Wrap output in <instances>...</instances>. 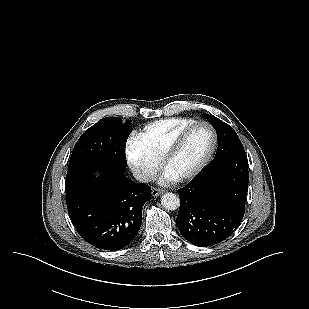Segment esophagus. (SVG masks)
<instances>
[{"mask_svg":"<svg viewBox=\"0 0 309 309\" xmlns=\"http://www.w3.org/2000/svg\"><path fill=\"white\" fill-rule=\"evenodd\" d=\"M163 192H164V190H162V189L153 188L152 189V196L157 197V196L161 195Z\"/></svg>","mask_w":309,"mask_h":309,"instance_id":"esophagus-1","label":"esophagus"}]
</instances>
